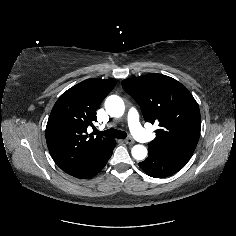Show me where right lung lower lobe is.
Here are the masks:
<instances>
[{
    "instance_id": "obj_1",
    "label": "right lung lower lobe",
    "mask_w": 236,
    "mask_h": 236,
    "mask_svg": "<svg viewBox=\"0 0 236 236\" xmlns=\"http://www.w3.org/2000/svg\"><path fill=\"white\" fill-rule=\"evenodd\" d=\"M115 145L116 141L113 139L112 142L108 145V147L101 151L96 156V158L85 168L84 171L75 175L74 177L80 179H88L97 174L99 171H101L106 165L108 159L111 157Z\"/></svg>"
}]
</instances>
